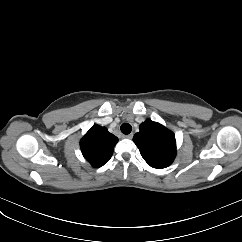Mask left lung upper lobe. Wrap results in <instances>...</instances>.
<instances>
[{
	"label": "left lung upper lobe",
	"instance_id": "left-lung-upper-lobe-1",
	"mask_svg": "<svg viewBox=\"0 0 242 242\" xmlns=\"http://www.w3.org/2000/svg\"><path fill=\"white\" fill-rule=\"evenodd\" d=\"M133 142L144 160L153 168L169 166L176 156L173 132L150 119L140 124V131L134 135Z\"/></svg>",
	"mask_w": 242,
	"mask_h": 242
}]
</instances>
